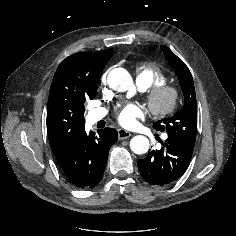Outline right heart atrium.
<instances>
[{"mask_svg": "<svg viewBox=\"0 0 236 236\" xmlns=\"http://www.w3.org/2000/svg\"><path fill=\"white\" fill-rule=\"evenodd\" d=\"M107 82V74H104L102 77H101V83L104 85L106 84Z\"/></svg>", "mask_w": 236, "mask_h": 236, "instance_id": "1", "label": "right heart atrium"}]
</instances>
